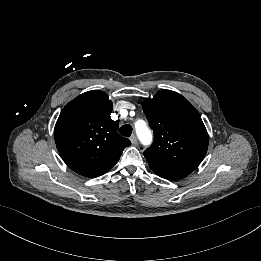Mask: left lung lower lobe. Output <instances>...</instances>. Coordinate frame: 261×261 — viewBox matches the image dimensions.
<instances>
[{
  "label": "left lung lower lobe",
  "instance_id": "1",
  "mask_svg": "<svg viewBox=\"0 0 261 261\" xmlns=\"http://www.w3.org/2000/svg\"><path fill=\"white\" fill-rule=\"evenodd\" d=\"M157 175H159L162 178H166L169 180H177V179H181L183 178L182 176L173 174V173H169V172H164V171H159V170H154L152 169Z\"/></svg>",
  "mask_w": 261,
  "mask_h": 261
}]
</instances>
